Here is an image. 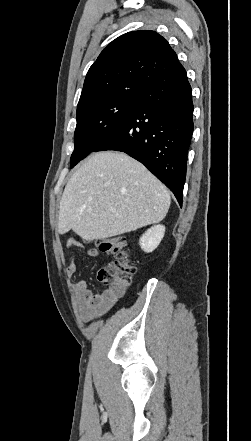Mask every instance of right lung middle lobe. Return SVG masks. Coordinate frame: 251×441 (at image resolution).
Instances as JSON below:
<instances>
[{
	"label": "right lung middle lobe",
	"mask_w": 251,
	"mask_h": 441,
	"mask_svg": "<svg viewBox=\"0 0 251 441\" xmlns=\"http://www.w3.org/2000/svg\"><path fill=\"white\" fill-rule=\"evenodd\" d=\"M141 98L140 94L105 98L77 111L71 168L93 152L124 121Z\"/></svg>",
	"instance_id": "1"
}]
</instances>
